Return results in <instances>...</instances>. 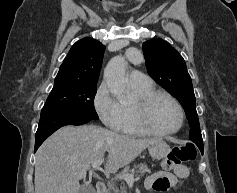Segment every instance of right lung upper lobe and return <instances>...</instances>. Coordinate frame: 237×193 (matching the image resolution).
I'll list each match as a JSON object with an SVG mask.
<instances>
[{"label":"right lung upper lobe","instance_id":"1","mask_svg":"<svg viewBox=\"0 0 237 193\" xmlns=\"http://www.w3.org/2000/svg\"><path fill=\"white\" fill-rule=\"evenodd\" d=\"M104 50L105 46L95 39L79 40L63 60L56 78L97 83Z\"/></svg>","mask_w":237,"mask_h":193}]
</instances>
